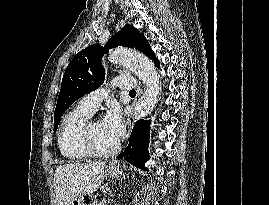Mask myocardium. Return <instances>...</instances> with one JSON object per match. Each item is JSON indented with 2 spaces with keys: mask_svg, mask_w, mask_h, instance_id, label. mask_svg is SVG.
<instances>
[{
  "mask_svg": "<svg viewBox=\"0 0 269 205\" xmlns=\"http://www.w3.org/2000/svg\"><path fill=\"white\" fill-rule=\"evenodd\" d=\"M95 121L97 120H88L82 129L81 143L84 149L89 156L95 158H107L115 155L120 149V144L118 142L112 149L107 151L99 150L95 146L92 136V125L95 123Z\"/></svg>",
  "mask_w": 269,
  "mask_h": 205,
  "instance_id": "1",
  "label": "myocardium"
}]
</instances>
